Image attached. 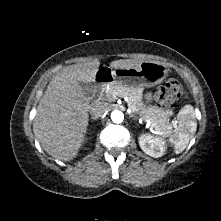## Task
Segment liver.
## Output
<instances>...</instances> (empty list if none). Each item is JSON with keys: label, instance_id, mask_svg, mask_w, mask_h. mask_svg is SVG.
<instances>
[{"label": "liver", "instance_id": "liver-1", "mask_svg": "<svg viewBox=\"0 0 221 221\" xmlns=\"http://www.w3.org/2000/svg\"><path fill=\"white\" fill-rule=\"evenodd\" d=\"M130 59L115 60L111 69L139 65ZM100 62L70 65L49 82L37 107L33 132L41 147L53 158L70 161L76 157L87 131L90 110L81 82H94Z\"/></svg>", "mask_w": 221, "mask_h": 221}]
</instances>
